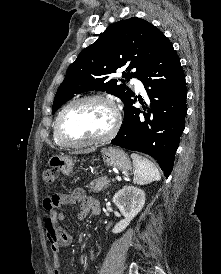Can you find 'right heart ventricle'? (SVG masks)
<instances>
[{"mask_svg": "<svg viewBox=\"0 0 221 274\" xmlns=\"http://www.w3.org/2000/svg\"><path fill=\"white\" fill-rule=\"evenodd\" d=\"M56 121H57V118L55 120V123H54V127H53V140L54 142L59 145V146H65L60 140L59 138L57 137V134H56Z\"/></svg>", "mask_w": 221, "mask_h": 274, "instance_id": "e07e8e85", "label": "right heart ventricle"}]
</instances>
